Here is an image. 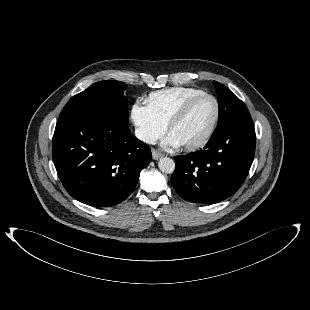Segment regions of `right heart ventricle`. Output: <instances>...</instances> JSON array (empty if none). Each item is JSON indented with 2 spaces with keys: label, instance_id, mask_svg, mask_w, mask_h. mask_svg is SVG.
Masks as SVG:
<instances>
[{
  "label": "right heart ventricle",
  "instance_id": "e07e8e85",
  "mask_svg": "<svg viewBox=\"0 0 310 310\" xmlns=\"http://www.w3.org/2000/svg\"><path fill=\"white\" fill-rule=\"evenodd\" d=\"M205 93L190 87H173L149 94L146 105L153 115L166 125L178 109L189 99Z\"/></svg>",
  "mask_w": 310,
  "mask_h": 310
}]
</instances>
